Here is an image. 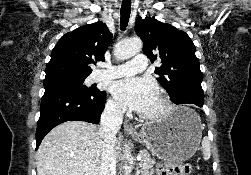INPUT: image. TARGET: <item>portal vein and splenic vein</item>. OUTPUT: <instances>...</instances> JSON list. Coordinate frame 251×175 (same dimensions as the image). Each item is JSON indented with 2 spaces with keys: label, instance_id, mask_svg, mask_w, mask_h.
I'll list each match as a JSON object with an SVG mask.
<instances>
[{
  "label": "portal vein and splenic vein",
  "instance_id": "portal-vein-and-splenic-vein-1",
  "mask_svg": "<svg viewBox=\"0 0 251 175\" xmlns=\"http://www.w3.org/2000/svg\"><path fill=\"white\" fill-rule=\"evenodd\" d=\"M137 159H141V155H137ZM84 175H88V173H84Z\"/></svg>",
  "mask_w": 251,
  "mask_h": 175
}]
</instances>
